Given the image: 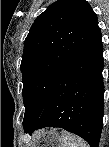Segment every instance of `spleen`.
Listing matches in <instances>:
<instances>
[{
    "label": "spleen",
    "mask_w": 109,
    "mask_h": 147,
    "mask_svg": "<svg viewBox=\"0 0 109 147\" xmlns=\"http://www.w3.org/2000/svg\"><path fill=\"white\" fill-rule=\"evenodd\" d=\"M63 147H88L85 140L80 138L79 136H75L69 132H63Z\"/></svg>",
    "instance_id": "1"
}]
</instances>
